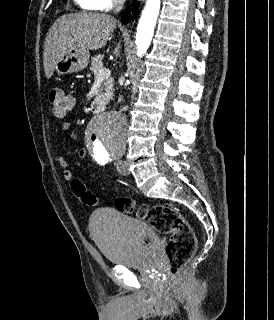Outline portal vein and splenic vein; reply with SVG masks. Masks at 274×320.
<instances>
[{"instance_id":"obj_1","label":"portal vein and splenic vein","mask_w":274,"mask_h":320,"mask_svg":"<svg viewBox=\"0 0 274 320\" xmlns=\"http://www.w3.org/2000/svg\"><path fill=\"white\" fill-rule=\"evenodd\" d=\"M110 74V70H105V68H101V70H98V76H96V78H108Z\"/></svg>"}]
</instances>
